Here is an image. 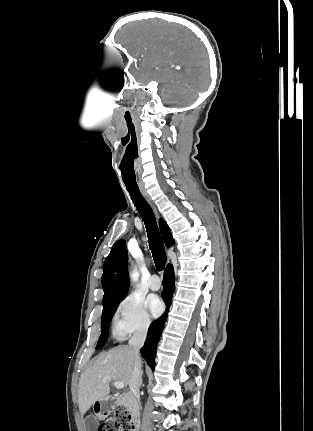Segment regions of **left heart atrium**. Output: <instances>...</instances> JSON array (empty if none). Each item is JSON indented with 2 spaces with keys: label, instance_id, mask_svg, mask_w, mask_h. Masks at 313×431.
<instances>
[{
  "label": "left heart atrium",
  "instance_id": "39dd6f15",
  "mask_svg": "<svg viewBox=\"0 0 313 431\" xmlns=\"http://www.w3.org/2000/svg\"><path fill=\"white\" fill-rule=\"evenodd\" d=\"M149 308L154 316H159L163 311L164 305L158 297H152L149 300Z\"/></svg>",
  "mask_w": 313,
  "mask_h": 431
}]
</instances>
